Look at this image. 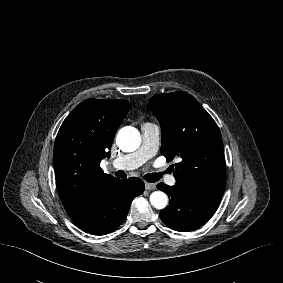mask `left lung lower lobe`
I'll list each match as a JSON object with an SVG mask.
<instances>
[{
	"label": "left lung lower lobe",
	"instance_id": "1",
	"mask_svg": "<svg viewBox=\"0 0 283 283\" xmlns=\"http://www.w3.org/2000/svg\"><path fill=\"white\" fill-rule=\"evenodd\" d=\"M157 188L170 198L169 205L160 212L162 221L180 232L192 231L204 225L220 203V200L204 197L179 182L174 186L159 183Z\"/></svg>",
	"mask_w": 283,
	"mask_h": 283
}]
</instances>
